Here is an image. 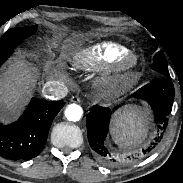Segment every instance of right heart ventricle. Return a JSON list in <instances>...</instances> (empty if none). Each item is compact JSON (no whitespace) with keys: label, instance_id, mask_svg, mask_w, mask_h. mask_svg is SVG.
Masks as SVG:
<instances>
[{"label":"right heart ventricle","instance_id":"e07e8e85","mask_svg":"<svg viewBox=\"0 0 183 183\" xmlns=\"http://www.w3.org/2000/svg\"><path fill=\"white\" fill-rule=\"evenodd\" d=\"M127 52L129 49L120 44L102 42L75 52L71 63L78 70L89 71L113 63L117 57Z\"/></svg>","mask_w":183,"mask_h":183}]
</instances>
